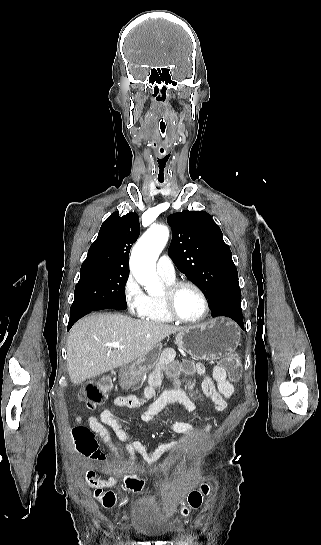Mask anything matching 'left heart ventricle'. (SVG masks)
<instances>
[{
  "label": "left heart ventricle",
  "mask_w": 321,
  "mask_h": 545,
  "mask_svg": "<svg viewBox=\"0 0 321 545\" xmlns=\"http://www.w3.org/2000/svg\"><path fill=\"white\" fill-rule=\"evenodd\" d=\"M165 296L163 290L162 298ZM177 314L185 320H195L203 313V303L199 294L191 288H184L174 298Z\"/></svg>",
  "instance_id": "left-heart-ventricle-1"
}]
</instances>
